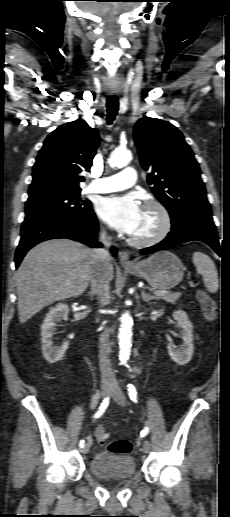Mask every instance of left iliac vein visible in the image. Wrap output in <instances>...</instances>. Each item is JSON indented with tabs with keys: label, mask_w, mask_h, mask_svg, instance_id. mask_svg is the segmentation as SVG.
I'll return each mask as SVG.
<instances>
[{
	"label": "left iliac vein",
	"mask_w": 230,
	"mask_h": 517,
	"mask_svg": "<svg viewBox=\"0 0 230 517\" xmlns=\"http://www.w3.org/2000/svg\"><path fill=\"white\" fill-rule=\"evenodd\" d=\"M112 398L116 403H118L121 406H124L126 403L125 396L118 384H115V386L112 388ZM142 451L144 453H149V451H150L149 441H147V440L143 441Z\"/></svg>",
	"instance_id": "4c4485c4"
}]
</instances>
